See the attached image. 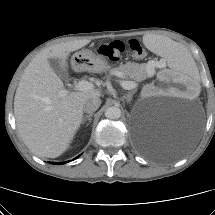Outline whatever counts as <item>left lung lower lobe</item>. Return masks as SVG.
<instances>
[{
  "mask_svg": "<svg viewBox=\"0 0 215 215\" xmlns=\"http://www.w3.org/2000/svg\"><path fill=\"white\" fill-rule=\"evenodd\" d=\"M178 153H179L178 150L171 145H168L167 147L165 146L159 151V154L166 157L175 156V155H178Z\"/></svg>",
  "mask_w": 215,
  "mask_h": 215,
  "instance_id": "obj_1",
  "label": "left lung lower lobe"
}]
</instances>
